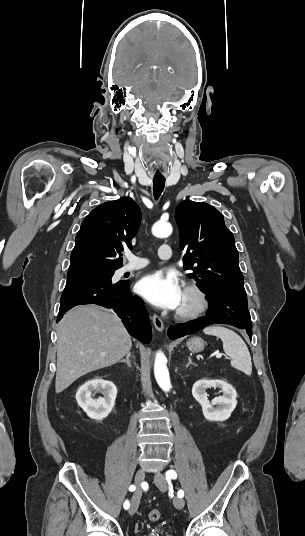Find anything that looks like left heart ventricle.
I'll return each mask as SVG.
<instances>
[{
	"mask_svg": "<svg viewBox=\"0 0 305 536\" xmlns=\"http://www.w3.org/2000/svg\"><path fill=\"white\" fill-rule=\"evenodd\" d=\"M193 305H194V298L182 292V300L179 305V308H189V307H192Z\"/></svg>",
	"mask_w": 305,
	"mask_h": 536,
	"instance_id": "1",
	"label": "left heart ventricle"
}]
</instances>
